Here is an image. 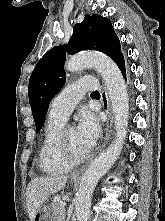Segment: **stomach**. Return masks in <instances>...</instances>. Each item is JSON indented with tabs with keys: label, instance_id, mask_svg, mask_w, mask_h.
Here are the masks:
<instances>
[{
	"label": "stomach",
	"instance_id": "0dacf381",
	"mask_svg": "<svg viewBox=\"0 0 165 221\" xmlns=\"http://www.w3.org/2000/svg\"><path fill=\"white\" fill-rule=\"evenodd\" d=\"M72 182H75L72 179ZM34 221H57V216L54 214L50 204H43L37 211Z\"/></svg>",
	"mask_w": 165,
	"mask_h": 221
}]
</instances>
